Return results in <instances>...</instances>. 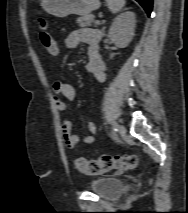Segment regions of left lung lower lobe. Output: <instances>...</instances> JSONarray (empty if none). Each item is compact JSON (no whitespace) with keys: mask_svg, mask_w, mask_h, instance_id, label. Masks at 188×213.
<instances>
[{"mask_svg":"<svg viewBox=\"0 0 188 213\" xmlns=\"http://www.w3.org/2000/svg\"><path fill=\"white\" fill-rule=\"evenodd\" d=\"M140 3V5L145 9L148 15H150L152 11L153 0H136Z\"/></svg>","mask_w":188,"mask_h":213,"instance_id":"1","label":"left lung lower lobe"}]
</instances>
